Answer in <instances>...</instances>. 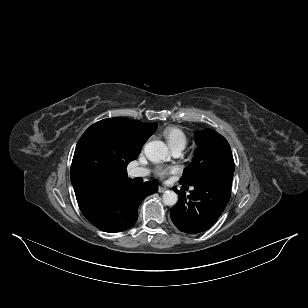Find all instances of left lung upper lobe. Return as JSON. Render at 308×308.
<instances>
[{"label": "left lung upper lobe", "mask_w": 308, "mask_h": 308, "mask_svg": "<svg viewBox=\"0 0 308 308\" xmlns=\"http://www.w3.org/2000/svg\"><path fill=\"white\" fill-rule=\"evenodd\" d=\"M195 139L199 151L184 170L180 184L192 185L213 173L235 170L230 145L223 136L214 130L204 129L195 133Z\"/></svg>", "instance_id": "1"}]
</instances>
